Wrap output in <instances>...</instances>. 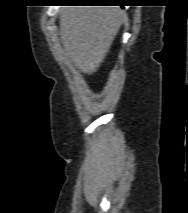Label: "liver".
I'll use <instances>...</instances> for the list:
<instances>
[{
	"label": "liver",
	"mask_w": 188,
	"mask_h": 213,
	"mask_svg": "<svg viewBox=\"0 0 188 213\" xmlns=\"http://www.w3.org/2000/svg\"><path fill=\"white\" fill-rule=\"evenodd\" d=\"M124 18L119 6H69L61 13L63 48L81 72L91 75L97 71Z\"/></svg>",
	"instance_id": "6515ba94"
}]
</instances>
